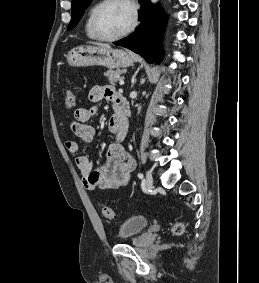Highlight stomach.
I'll list each match as a JSON object with an SVG mask.
<instances>
[{
    "label": "stomach",
    "mask_w": 259,
    "mask_h": 283,
    "mask_svg": "<svg viewBox=\"0 0 259 283\" xmlns=\"http://www.w3.org/2000/svg\"><path fill=\"white\" fill-rule=\"evenodd\" d=\"M133 62L134 56L131 52L111 47L79 46L68 54L69 65L77 67L100 65L114 69L131 66Z\"/></svg>",
    "instance_id": "stomach-1"
}]
</instances>
